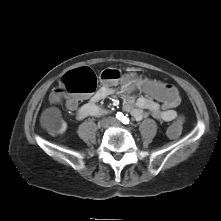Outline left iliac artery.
Instances as JSON below:
<instances>
[{
    "mask_svg": "<svg viewBox=\"0 0 221 221\" xmlns=\"http://www.w3.org/2000/svg\"><path fill=\"white\" fill-rule=\"evenodd\" d=\"M121 121H122L123 124H129V119L125 116L122 117Z\"/></svg>",
    "mask_w": 221,
    "mask_h": 221,
    "instance_id": "1",
    "label": "left iliac artery"
}]
</instances>
